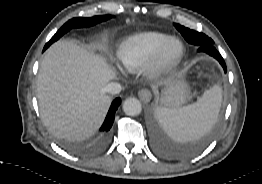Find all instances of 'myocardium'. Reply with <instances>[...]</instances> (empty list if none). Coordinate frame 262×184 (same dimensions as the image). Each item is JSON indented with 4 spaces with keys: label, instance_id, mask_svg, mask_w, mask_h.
Here are the masks:
<instances>
[{
    "label": "myocardium",
    "instance_id": "obj_1",
    "mask_svg": "<svg viewBox=\"0 0 262 184\" xmlns=\"http://www.w3.org/2000/svg\"><path fill=\"white\" fill-rule=\"evenodd\" d=\"M184 53L183 42L178 38H170L147 64L148 74L159 76L170 71L180 63Z\"/></svg>",
    "mask_w": 262,
    "mask_h": 184
}]
</instances>
